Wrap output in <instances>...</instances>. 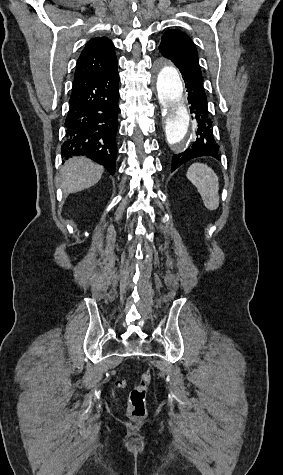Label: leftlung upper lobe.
Segmentation results:
<instances>
[{
	"label": "left lung upper lobe",
	"instance_id": "1",
	"mask_svg": "<svg viewBox=\"0 0 283 475\" xmlns=\"http://www.w3.org/2000/svg\"><path fill=\"white\" fill-rule=\"evenodd\" d=\"M159 50L176 67L179 65H191L200 68L196 47L191 38L182 31L169 30L164 33Z\"/></svg>",
	"mask_w": 283,
	"mask_h": 475
}]
</instances>
